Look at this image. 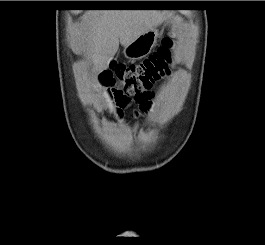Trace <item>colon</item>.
I'll use <instances>...</instances> for the list:
<instances>
[{
	"label": "colon",
	"mask_w": 265,
	"mask_h": 245,
	"mask_svg": "<svg viewBox=\"0 0 265 245\" xmlns=\"http://www.w3.org/2000/svg\"><path fill=\"white\" fill-rule=\"evenodd\" d=\"M171 37H165L159 49L136 64L112 63L101 75L106 86V96L117 109L124 108L135 99L141 109H146L149 90L169 72L172 63Z\"/></svg>",
	"instance_id": "colon-1"
}]
</instances>
